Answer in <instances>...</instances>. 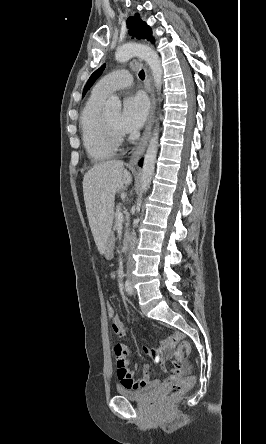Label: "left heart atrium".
Masks as SVG:
<instances>
[{"label": "left heart atrium", "instance_id": "left-heart-atrium-1", "mask_svg": "<svg viewBox=\"0 0 266 444\" xmlns=\"http://www.w3.org/2000/svg\"><path fill=\"white\" fill-rule=\"evenodd\" d=\"M148 101L142 94H134L125 99L123 111L119 119V127L123 133L139 130L148 116Z\"/></svg>", "mask_w": 266, "mask_h": 444}]
</instances>
